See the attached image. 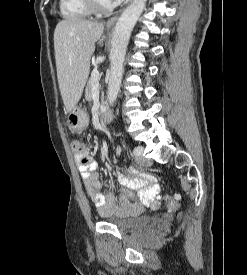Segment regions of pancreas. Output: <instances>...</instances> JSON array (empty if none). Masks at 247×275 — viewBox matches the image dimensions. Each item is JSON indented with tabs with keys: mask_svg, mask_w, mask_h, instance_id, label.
<instances>
[{
	"mask_svg": "<svg viewBox=\"0 0 247 275\" xmlns=\"http://www.w3.org/2000/svg\"><path fill=\"white\" fill-rule=\"evenodd\" d=\"M94 84H95L94 78L91 76L85 89V99L87 101H91L92 99V89Z\"/></svg>",
	"mask_w": 247,
	"mask_h": 275,
	"instance_id": "obj_1",
	"label": "pancreas"
}]
</instances>
